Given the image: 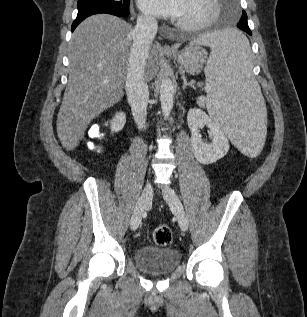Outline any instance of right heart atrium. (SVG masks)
I'll list each match as a JSON object with an SVG mask.
<instances>
[{
	"label": "right heart atrium",
	"mask_w": 307,
	"mask_h": 317,
	"mask_svg": "<svg viewBox=\"0 0 307 317\" xmlns=\"http://www.w3.org/2000/svg\"><path fill=\"white\" fill-rule=\"evenodd\" d=\"M140 20L142 23H144L146 25H150L153 22V19L150 16H146V15L141 16Z\"/></svg>",
	"instance_id": "d8ad5b80"
}]
</instances>
